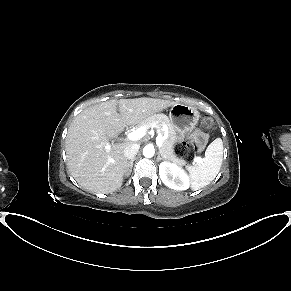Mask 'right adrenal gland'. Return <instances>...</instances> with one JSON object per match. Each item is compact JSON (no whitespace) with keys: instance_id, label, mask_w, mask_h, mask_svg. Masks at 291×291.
<instances>
[{"instance_id":"2a0ac1e0","label":"right adrenal gland","mask_w":291,"mask_h":291,"mask_svg":"<svg viewBox=\"0 0 291 291\" xmlns=\"http://www.w3.org/2000/svg\"><path fill=\"white\" fill-rule=\"evenodd\" d=\"M135 161V158L131 159L129 161V169H128V172H127V176H129L131 174V171H132V167H133V162Z\"/></svg>"}]
</instances>
